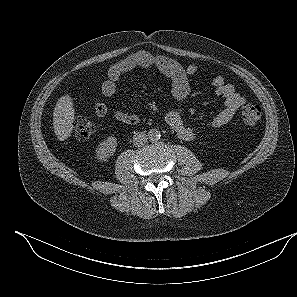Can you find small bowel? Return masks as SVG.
<instances>
[{"label":"small bowel","instance_id":"obj_1","mask_svg":"<svg viewBox=\"0 0 297 297\" xmlns=\"http://www.w3.org/2000/svg\"><path fill=\"white\" fill-rule=\"evenodd\" d=\"M139 68H155L167 76L171 80L172 95L178 101L188 96L190 92V78L199 71L197 64H190L184 67L168 57L155 55L146 50H140L110 67L107 78L102 83L101 89L103 95L106 97L114 96L117 92L118 81L125 74ZM212 85L215 89V94L223 99V108L213 117L209 127L219 128L231 121L246 100L231 84L225 82L222 76L214 77L212 79ZM94 108L98 116H104L107 113V105L101 100L95 102ZM114 116L118 121L125 124H134L139 121L137 115H131L123 111H116ZM165 120L177 136L184 141H192L200 133L184 123L181 112L178 109L170 110L166 114Z\"/></svg>","mask_w":297,"mask_h":297}]
</instances>
